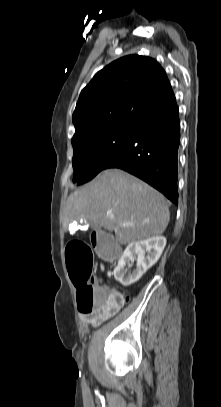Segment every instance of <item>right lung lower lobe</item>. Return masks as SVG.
<instances>
[{
    "label": "right lung lower lobe",
    "mask_w": 221,
    "mask_h": 407,
    "mask_svg": "<svg viewBox=\"0 0 221 407\" xmlns=\"http://www.w3.org/2000/svg\"><path fill=\"white\" fill-rule=\"evenodd\" d=\"M179 143V111L173 96L136 124L128 141L103 169H123L177 204Z\"/></svg>",
    "instance_id": "obj_1"
}]
</instances>
